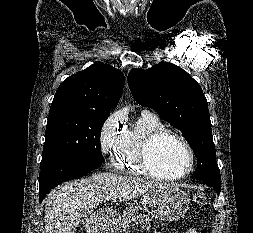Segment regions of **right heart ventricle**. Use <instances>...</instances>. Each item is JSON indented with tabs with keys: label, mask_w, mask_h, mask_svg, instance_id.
Segmentation results:
<instances>
[{
	"label": "right heart ventricle",
	"mask_w": 253,
	"mask_h": 233,
	"mask_svg": "<svg viewBox=\"0 0 253 233\" xmlns=\"http://www.w3.org/2000/svg\"><path fill=\"white\" fill-rule=\"evenodd\" d=\"M163 128L156 114L141 113L133 125L124 128L114 150L113 167L134 175H147L139 162L141 146L148 135Z\"/></svg>",
	"instance_id": "obj_1"
}]
</instances>
